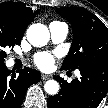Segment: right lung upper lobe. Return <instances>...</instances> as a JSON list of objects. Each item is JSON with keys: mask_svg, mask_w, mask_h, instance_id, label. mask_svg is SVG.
Segmentation results:
<instances>
[{"mask_svg": "<svg viewBox=\"0 0 108 108\" xmlns=\"http://www.w3.org/2000/svg\"><path fill=\"white\" fill-rule=\"evenodd\" d=\"M38 12L39 10L33 11L26 7L24 3L4 2L0 4V16L6 18L13 29L22 36Z\"/></svg>", "mask_w": 108, "mask_h": 108, "instance_id": "cb5924a9", "label": "right lung upper lobe"}]
</instances>
